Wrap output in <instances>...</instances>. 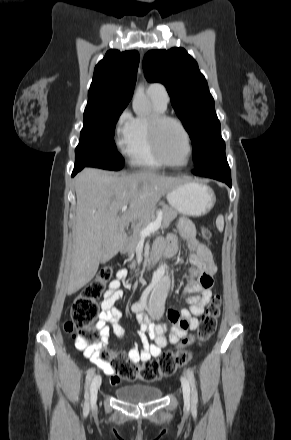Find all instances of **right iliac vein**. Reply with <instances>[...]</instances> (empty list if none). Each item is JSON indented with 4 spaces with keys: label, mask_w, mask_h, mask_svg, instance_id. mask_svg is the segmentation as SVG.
Masks as SVG:
<instances>
[{
    "label": "right iliac vein",
    "mask_w": 291,
    "mask_h": 440,
    "mask_svg": "<svg viewBox=\"0 0 291 440\" xmlns=\"http://www.w3.org/2000/svg\"><path fill=\"white\" fill-rule=\"evenodd\" d=\"M101 385V376L95 375L91 381L89 392H90V403L94 405L97 400L98 390Z\"/></svg>",
    "instance_id": "63e3f726"
}]
</instances>
